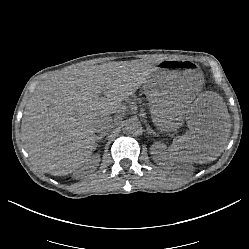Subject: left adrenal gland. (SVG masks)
Returning <instances> with one entry per match:
<instances>
[{
	"label": "left adrenal gland",
	"mask_w": 249,
	"mask_h": 249,
	"mask_svg": "<svg viewBox=\"0 0 249 249\" xmlns=\"http://www.w3.org/2000/svg\"><path fill=\"white\" fill-rule=\"evenodd\" d=\"M153 131H154V130H152L151 128H147L148 134H152Z\"/></svg>",
	"instance_id": "left-adrenal-gland-1"
}]
</instances>
